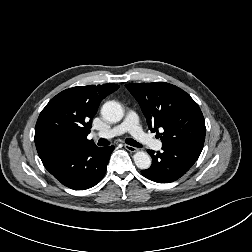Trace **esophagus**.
I'll return each mask as SVG.
<instances>
[{"mask_svg":"<svg viewBox=\"0 0 252 252\" xmlns=\"http://www.w3.org/2000/svg\"><path fill=\"white\" fill-rule=\"evenodd\" d=\"M124 147H125L126 150H128L130 152H137L139 150L138 148L133 147V146L128 145V144H125Z\"/></svg>","mask_w":252,"mask_h":252,"instance_id":"1","label":"esophagus"}]
</instances>
